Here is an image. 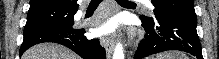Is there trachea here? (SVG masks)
<instances>
[{
  "label": "trachea",
  "instance_id": "1",
  "mask_svg": "<svg viewBox=\"0 0 219 59\" xmlns=\"http://www.w3.org/2000/svg\"><path fill=\"white\" fill-rule=\"evenodd\" d=\"M101 2H102V0H91L88 7L89 8H96ZM117 3H119V4H121V3L134 4L133 2L128 1V0H117Z\"/></svg>",
  "mask_w": 219,
  "mask_h": 59
}]
</instances>
